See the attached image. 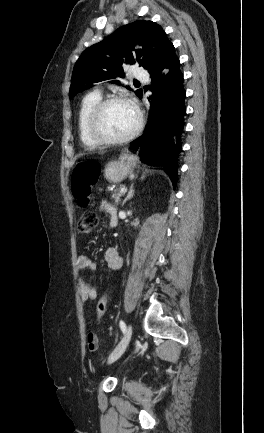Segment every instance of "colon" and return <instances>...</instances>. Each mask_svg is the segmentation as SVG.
I'll use <instances>...</instances> for the list:
<instances>
[{"label":"colon","instance_id":"1","mask_svg":"<svg viewBox=\"0 0 264 433\" xmlns=\"http://www.w3.org/2000/svg\"><path fill=\"white\" fill-rule=\"evenodd\" d=\"M100 166L96 161H85L78 164L71 177L72 192L78 204L86 207L90 201L91 188L99 179ZM98 218L95 212L85 211L79 220L78 228L82 233L91 232L97 225ZM110 296L104 294L98 301L96 306V314L98 321L104 317Z\"/></svg>","mask_w":264,"mask_h":433}]
</instances>
